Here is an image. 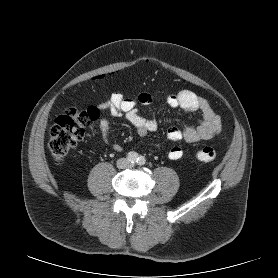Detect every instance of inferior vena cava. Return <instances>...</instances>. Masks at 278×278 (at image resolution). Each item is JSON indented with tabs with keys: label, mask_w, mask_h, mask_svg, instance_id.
I'll return each mask as SVG.
<instances>
[{
	"label": "inferior vena cava",
	"mask_w": 278,
	"mask_h": 278,
	"mask_svg": "<svg viewBox=\"0 0 278 278\" xmlns=\"http://www.w3.org/2000/svg\"><path fill=\"white\" fill-rule=\"evenodd\" d=\"M124 161H125L124 159L119 160L118 166H119L120 168L123 167V166H122V163H123Z\"/></svg>",
	"instance_id": "602c4592"
}]
</instances>
